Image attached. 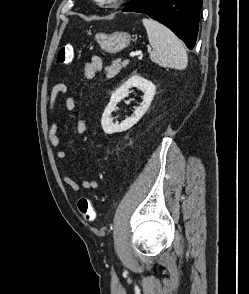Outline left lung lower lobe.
<instances>
[{"label": "left lung lower lobe", "mask_w": 249, "mask_h": 294, "mask_svg": "<svg viewBox=\"0 0 249 294\" xmlns=\"http://www.w3.org/2000/svg\"><path fill=\"white\" fill-rule=\"evenodd\" d=\"M202 0H132L123 9L145 13L171 29L189 49L195 46Z\"/></svg>", "instance_id": "obj_1"}]
</instances>
